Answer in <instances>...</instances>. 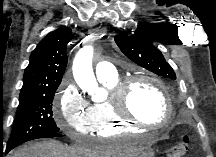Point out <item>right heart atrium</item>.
<instances>
[{"instance_id": "1", "label": "right heart atrium", "mask_w": 216, "mask_h": 157, "mask_svg": "<svg viewBox=\"0 0 216 157\" xmlns=\"http://www.w3.org/2000/svg\"><path fill=\"white\" fill-rule=\"evenodd\" d=\"M55 121L64 133L73 138L94 131L92 106L70 81L63 82L60 87Z\"/></svg>"}]
</instances>
